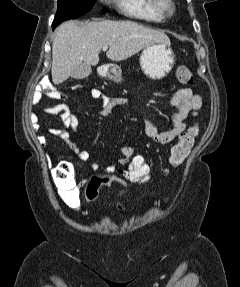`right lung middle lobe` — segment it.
Wrapping results in <instances>:
<instances>
[{"mask_svg":"<svg viewBox=\"0 0 240 287\" xmlns=\"http://www.w3.org/2000/svg\"><path fill=\"white\" fill-rule=\"evenodd\" d=\"M96 0H58V9L52 23L54 29L65 20L74 19L88 12Z\"/></svg>","mask_w":240,"mask_h":287,"instance_id":"1","label":"right lung middle lobe"}]
</instances>
